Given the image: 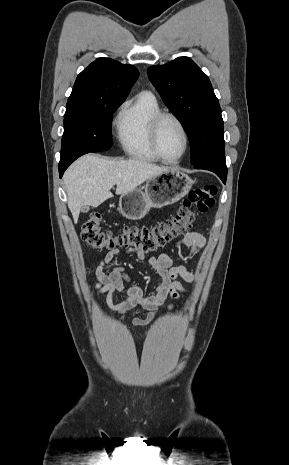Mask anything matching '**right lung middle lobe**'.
<instances>
[{
  "label": "right lung middle lobe",
  "instance_id": "dd1d6c3e",
  "mask_svg": "<svg viewBox=\"0 0 289 465\" xmlns=\"http://www.w3.org/2000/svg\"><path fill=\"white\" fill-rule=\"evenodd\" d=\"M124 100H113L90 108L86 113L64 115L61 161H69L112 145L111 114Z\"/></svg>",
  "mask_w": 289,
  "mask_h": 465
}]
</instances>
